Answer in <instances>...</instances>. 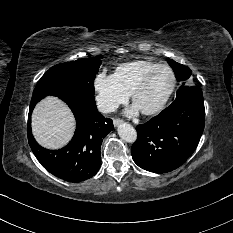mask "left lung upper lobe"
<instances>
[{
	"mask_svg": "<svg viewBox=\"0 0 233 233\" xmlns=\"http://www.w3.org/2000/svg\"><path fill=\"white\" fill-rule=\"evenodd\" d=\"M168 63L173 68L176 79L178 81H184L183 86H181L177 91V95H176L177 98L191 88L189 86H185V81L189 79L191 75V70L187 66L179 64L174 60H168Z\"/></svg>",
	"mask_w": 233,
	"mask_h": 233,
	"instance_id": "5c2ea615",
	"label": "left lung upper lobe"
}]
</instances>
